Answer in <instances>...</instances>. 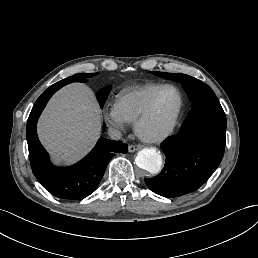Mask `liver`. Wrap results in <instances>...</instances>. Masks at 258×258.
Wrapping results in <instances>:
<instances>
[{"instance_id":"6515ba94","label":"liver","mask_w":258,"mask_h":258,"mask_svg":"<svg viewBox=\"0 0 258 258\" xmlns=\"http://www.w3.org/2000/svg\"><path fill=\"white\" fill-rule=\"evenodd\" d=\"M36 130L54 165L76 164L101 137V109L95 93L82 82L63 86L47 102Z\"/></svg>"}]
</instances>
